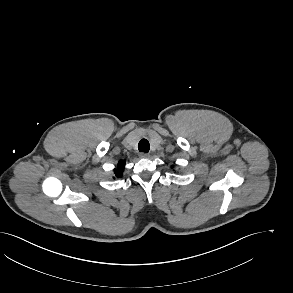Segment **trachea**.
I'll return each instance as SVG.
<instances>
[{"instance_id":"obj_1","label":"trachea","mask_w":293,"mask_h":293,"mask_svg":"<svg viewBox=\"0 0 293 293\" xmlns=\"http://www.w3.org/2000/svg\"><path fill=\"white\" fill-rule=\"evenodd\" d=\"M138 149L140 152H149L150 144L147 139H142L138 144Z\"/></svg>"}]
</instances>
